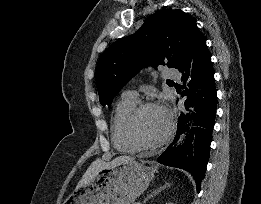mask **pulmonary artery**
<instances>
[{
	"label": "pulmonary artery",
	"mask_w": 261,
	"mask_h": 204,
	"mask_svg": "<svg viewBox=\"0 0 261 204\" xmlns=\"http://www.w3.org/2000/svg\"><path fill=\"white\" fill-rule=\"evenodd\" d=\"M164 77L168 78V79H179L180 74L175 69L167 68L164 71ZM137 96H138L137 93L135 91H132V90H127L123 93V98H126V99L136 100Z\"/></svg>",
	"instance_id": "e3ab8cb5"
}]
</instances>
